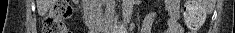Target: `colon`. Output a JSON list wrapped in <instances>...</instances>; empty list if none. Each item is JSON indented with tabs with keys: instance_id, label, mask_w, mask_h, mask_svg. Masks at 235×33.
I'll return each instance as SVG.
<instances>
[{
	"instance_id": "1",
	"label": "colon",
	"mask_w": 235,
	"mask_h": 33,
	"mask_svg": "<svg viewBox=\"0 0 235 33\" xmlns=\"http://www.w3.org/2000/svg\"><path fill=\"white\" fill-rule=\"evenodd\" d=\"M72 8L69 0H59L51 8L43 21L42 33H71L65 26L63 20L70 17ZM204 11L196 0L185 3L183 17L188 29L195 33L202 25Z\"/></svg>"
}]
</instances>
